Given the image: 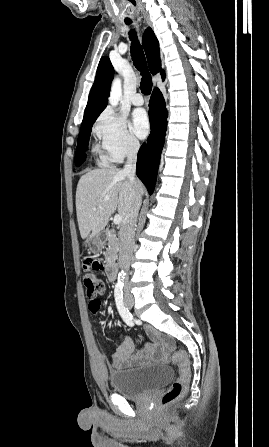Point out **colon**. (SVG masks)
<instances>
[{
	"label": "colon",
	"mask_w": 269,
	"mask_h": 447,
	"mask_svg": "<svg viewBox=\"0 0 269 447\" xmlns=\"http://www.w3.org/2000/svg\"><path fill=\"white\" fill-rule=\"evenodd\" d=\"M104 258L98 257L96 253H89L84 258V271H102ZM83 286L87 298H93L91 302L92 308H97L100 302L99 295L104 291V282L99 279L93 272H84ZM166 352L169 354V360L178 367V376L171 386L162 394L161 404L170 406L174 404L179 397L186 392L189 380L191 378V364L187 353L183 349L172 350V343H166Z\"/></svg>",
	"instance_id": "colon-1"
}]
</instances>
